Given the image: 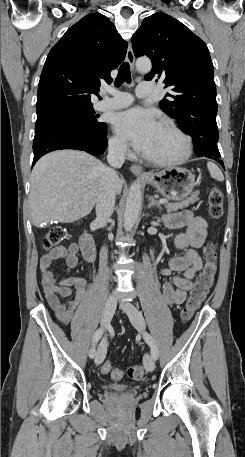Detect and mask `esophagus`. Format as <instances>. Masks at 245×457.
<instances>
[{
  "mask_svg": "<svg viewBox=\"0 0 245 457\" xmlns=\"http://www.w3.org/2000/svg\"><path fill=\"white\" fill-rule=\"evenodd\" d=\"M126 62H128L131 68L134 69L135 57L131 45H129L127 49ZM130 170L134 175L141 177H149V174L147 172H144L140 165H131Z\"/></svg>",
  "mask_w": 245,
  "mask_h": 457,
  "instance_id": "34e87169",
  "label": "esophagus"
}]
</instances>
